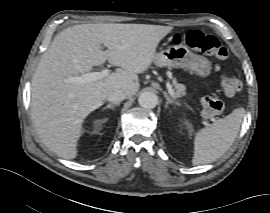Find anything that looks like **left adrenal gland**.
<instances>
[{"label":"left adrenal gland","mask_w":270,"mask_h":213,"mask_svg":"<svg viewBox=\"0 0 270 213\" xmlns=\"http://www.w3.org/2000/svg\"><path fill=\"white\" fill-rule=\"evenodd\" d=\"M164 96H165V98H166V105H165V108H167L168 105H169V104H173L174 101L170 98V96H169L166 92L164 93Z\"/></svg>","instance_id":"1"}]
</instances>
